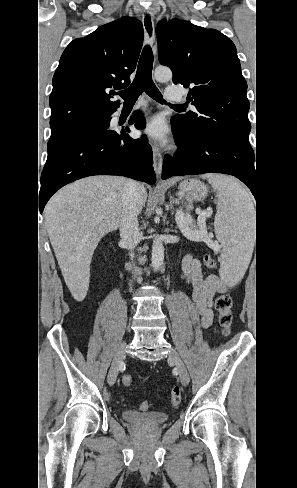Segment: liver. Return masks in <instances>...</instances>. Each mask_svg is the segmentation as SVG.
<instances>
[{"label":"liver","mask_w":297,"mask_h":488,"mask_svg":"<svg viewBox=\"0 0 297 488\" xmlns=\"http://www.w3.org/2000/svg\"><path fill=\"white\" fill-rule=\"evenodd\" d=\"M126 181L117 176L87 177L59 190L45 207L51 245L65 283L77 301L87 294L90 263L99 241L119 226ZM137 196L138 214L147 198L141 184Z\"/></svg>","instance_id":"liver-1"}]
</instances>
